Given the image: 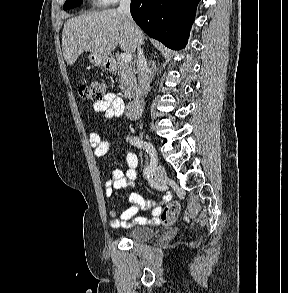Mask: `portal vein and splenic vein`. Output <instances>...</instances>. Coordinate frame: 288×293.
Listing matches in <instances>:
<instances>
[{
  "instance_id": "obj_1",
  "label": "portal vein and splenic vein",
  "mask_w": 288,
  "mask_h": 293,
  "mask_svg": "<svg viewBox=\"0 0 288 293\" xmlns=\"http://www.w3.org/2000/svg\"><path fill=\"white\" fill-rule=\"evenodd\" d=\"M121 59H122V61L129 63L132 61V55L130 53H123L121 55Z\"/></svg>"
}]
</instances>
